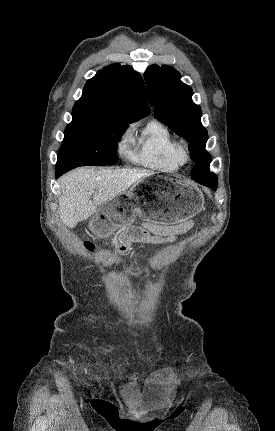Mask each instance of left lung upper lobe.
Wrapping results in <instances>:
<instances>
[{"mask_svg": "<svg viewBox=\"0 0 275 431\" xmlns=\"http://www.w3.org/2000/svg\"><path fill=\"white\" fill-rule=\"evenodd\" d=\"M180 78L171 66H149L145 72L149 102L155 107V117L190 143V156L196 163L191 173H211V157L205 150L208 134L201 124V108L191 99V87ZM214 178L218 183L215 174Z\"/></svg>", "mask_w": 275, "mask_h": 431, "instance_id": "1", "label": "left lung upper lobe"}]
</instances>
